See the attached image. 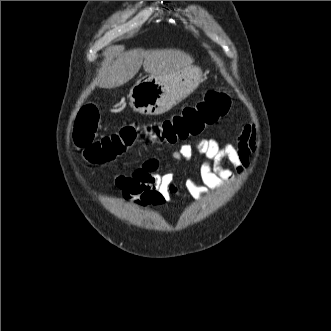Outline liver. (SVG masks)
Returning <instances> with one entry per match:
<instances>
[{"label":"liver","mask_w":331,"mask_h":331,"mask_svg":"<svg viewBox=\"0 0 331 331\" xmlns=\"http://www.w3.org/2000/svg\"><path fill=\"white\" fill-rule=\"evenodd\" d=\"M192 62L189 54L178 49H133L124 52L103 69L98 84L101 88L119 87L131 80L142 65L146 73L168 78L186 70Z\"/></svg>","instance_id":"obj_1"}]
</instances>
